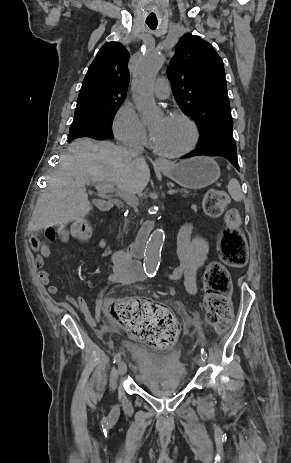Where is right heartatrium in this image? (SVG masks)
I'll list each match as a JSON object with an SVG mask.
<instances>
[{"label": "right heart atrium", "instance_id": "right-heart-atrium-1", "mask_svg": "<svg viewBox=\"0 0 291 463\" xmlns=\"http://www.w3.org/2000/svg\"><path fill=\"white\" fill-rule=\"evenodd\" d=\"M116 138L127 145L144 146L147 144L145 126L130 104L122 105L113 121Z\"/></svg>", "mask_w": 291, "mask_h": 463}]
</instances>
